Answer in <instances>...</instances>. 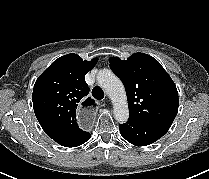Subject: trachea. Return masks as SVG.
I'll list each match as a JSON object with an SVG mask.
<instances>
[{
  "label": "trachea",
  "instance_id": "obj_1",
  "mask_svg": "<svg viewBox=\"0 0 209 179\" xmlns=\"http://www.w3.org/2000/svg\"><path fill=\"white\" fill-rule=\"evenodd\" d=\"M92 95L97 99V100H102L104 98V92L103 90L98 87V86H95L93 89H92Z\"/></svg>",
  "mask_w": 209,
  "mask_h": 179
}]
</instances>
